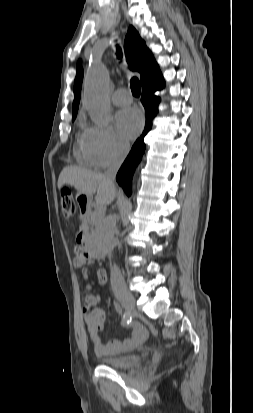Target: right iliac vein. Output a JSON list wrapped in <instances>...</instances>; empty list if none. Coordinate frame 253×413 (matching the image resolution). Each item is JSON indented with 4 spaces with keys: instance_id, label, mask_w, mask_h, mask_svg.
Here are the masks:
<instances>
[{
    "instance_id": "right-iliac-vein-1",
    "label": "right iliac vein",
    "mask_w": 253,
    "mask_h": 413,
    "mask_svg": "<svg viewBox=\"0 0 253 413\" xmlns=\"http://www.w3.org/2000/svg\"><path fill=\"white\" fill-rule=\"evenodd\" d=\"M117 298L127 311L132 312L135 310V298L131 293H120L117 295Z\"/></svg>"
}]
</instances>
